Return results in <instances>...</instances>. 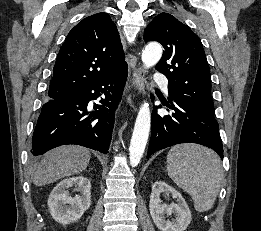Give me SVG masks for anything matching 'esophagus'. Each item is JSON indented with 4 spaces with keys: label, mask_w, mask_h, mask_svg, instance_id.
Returning <instances> with one entry per match:
<instances>
[{
    "label": "esophagus",
    "mask_w": 261,
    "mask_h": 231,
    "mask_svg": "<svg viewBox=\"0 0 261 231\" xmlns=\"http://www.w3.org/2000/svg\"><path fill=\"white\" fill-rule=\"evenodd\" d=\"M132 87L136 89L139 93L144 92L145 87V77L142 66H136L132 74Z\"/></svg>",
    "instance_id": "esophagus-1"
}]
</instances>
